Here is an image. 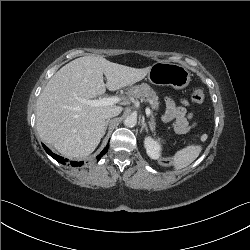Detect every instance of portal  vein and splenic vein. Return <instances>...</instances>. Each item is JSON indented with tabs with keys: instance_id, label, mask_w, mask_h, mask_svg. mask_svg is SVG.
<instances>
[{
	"instance_id": "portal-vein-and-splenic-vein-1",
	"label": "portal vein and splenic vein",
	"mask_w": 250,
	"mask_h": 250,
	"mask_svg": "<svg viewBox=\"0 0 250 250\" xmlns=\"http://www.w3.org/2000/svg\"><path fill=\"white\" fill-rule=\"evenodd\" d=\"M121 99L117 96L112 97H105L102 99H96V100H88V99H81V102H84L88 105L94 106V107H100V106H108V105H114L118 103ZM151 114V110L149 108H146V115L149 117Z\"/></svg>"
}]
</instances>
